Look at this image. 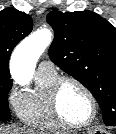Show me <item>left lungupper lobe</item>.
Here are the masks:
<instances>
[{"instance_id":"obj_1","label":"left lung upper lobe","mask_w":116,"mask_h":134,"mask_svg":"<svg viewBox=\"0 0 116 134\" xmlns=\"http://www.w3.org/2000/svg\"><path fill=\"white\" fill-rule=\"evenodd\" d=\"M48 54L95 97L107 126H116V29L92 11H51Z\"/></svg>"}]
</instances>
